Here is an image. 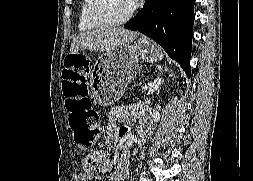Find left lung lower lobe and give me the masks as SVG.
<instances>
[{"instance_id":"obj_1","label":"left lung lower lobe","mask_w":253,"mask_h":181,"mask_svg":"<svg viewBox=\"0 0 253 181\" xmlns=\"http://www.w3.org/2000/svg\"><path fill=\"white\" fill-rule=\"evenodd\" d=\"M194 3L195 0H146L143 9L124 25L156 41L188 77L191 76Z\"/></svg>"}]
</instances>
